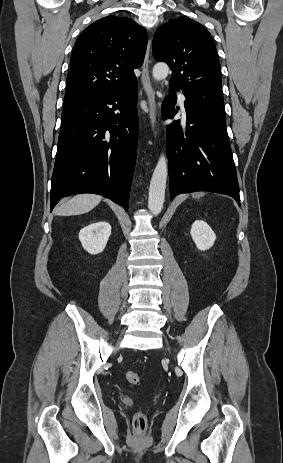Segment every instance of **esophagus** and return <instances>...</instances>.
I'll list each match as a JSON object with an SVG mask.
<instances>
[{"label": "esophagus", "mask_w": 283, "mask_h": 463, "mask_svg": "<svg viewBox=\"0 0 283 463\" xmlns=\"http://www.w3.org/2000/svg\"><path fill=\"white\" fill-rule=\"evenodd\" d=\"M150 47H151V40L148 41L147 51H146L143 65H142L141 83L147 95L150 125H151V128L154 129V125L156 121V102H155V93L151 86L150 75H149Z\"/></svg>", "instance_id": "34e87169"}]
</instances>
